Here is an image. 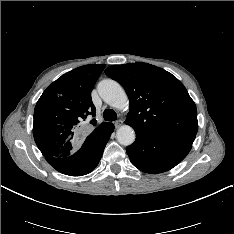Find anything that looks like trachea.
<instances>
[{"label":"trachea","mask_w":234,"mask_h":234,"mask_svg":"<svg viewBox=\"0 0 234 234\" xmlns=\"http://www.w3.org/2000/svg\"><path fill=\"white\" fill-rule=\"evenodd\" d=\"M103 117L105 121H115L117 119V114L112 109H106L103 112Z\"/></svg>","instance_id":"3493384b"}]
</instances>
